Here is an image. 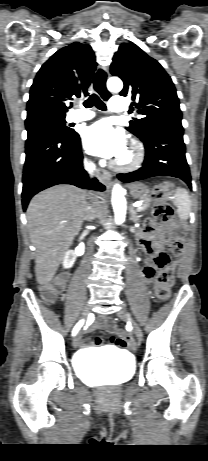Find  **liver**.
Segmentation results:
<instances>
[{"label": "liver", "instance_id": "obj_1", "mask_svg": "<svg viewBox=\"0 0 208 461\" xmlns=\"http://www.w3.org/2000/svg\"><path fill=\"white\" fill-rule=\"evenodd\" d=\"M86 191L58 185L35 195L27 208V223L36 248L35 274L40 285L48 284L82 226L89 206Z\"/></svg>", "mask_w": 208, "mask_h": 461}]
</instances>
